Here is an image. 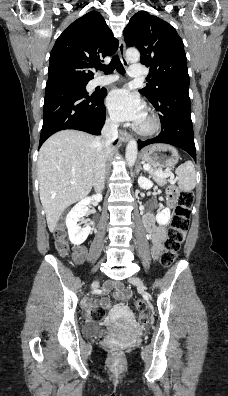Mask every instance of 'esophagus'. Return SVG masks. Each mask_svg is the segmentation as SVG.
Wrapping results in <instances>:
<instances>
[{
    "label": "esophagus",
    "instance_id": "34e87169",
    "mask_svg": "<svg viewBox=\"0 0 228 396\" xmlns=\"http://www.w3.org/2000/svg\"><path fill=\"white\" fill-rule=\"evenodd\" d=\"M125 49H126L125 42H124L123 39H120L119 47H118V54H119V57H120L121 62L123 63V65L127 66L128 65V61H127V59L125 57ZM119 136H120V140L122 142H127L131 138L130 134L127 131H125V130H119Z\"/></svg>",
    "mask_w": 228,
    "mask_h": 396
}]
</instances>
